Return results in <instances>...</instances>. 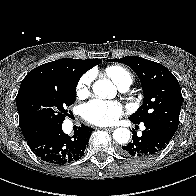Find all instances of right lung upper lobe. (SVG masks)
Instances as JSON below:
<instances>
[{"label": "right lung upper lobe", "instance_id": "1", "mask_svg": "<svg viewBox=\"0 0 196 196\" xmlns=\"http://www.w3.org/2000/svg\"><path fill=\"white\" fill-rule=\"evenodd\" d=\"M101 59H72L63 58L53 62L45 63L41 66L34 68L22 81L19 92L27 85L52 77L80 79V77L92 67L98 65ZM22 130V129H21ZM25 138L32 132L22 130Z\"/></svg>", "mask_w": 196, "mask_h": 196}]
</instances>
